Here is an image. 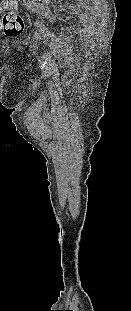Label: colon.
I'll use <instances>...</instances> for the list:
<instances>
[{
    "mask_svg": "<svg viewBox=\"0 0 131 311\" xmlns=\"http://www.w3.org/2000/svg\"><path fill=\"white\" fill-rule=\"evenodd\" d=\"M5 12L0 28L5 35L16 37L23 32L24 19L17 8L16 0H0V12Z\"/></svg>",
    "mask_w": 131,
    "mask_h": 311,
    "instance_id": "1",
    "label": "colon"
}]
</instances>
